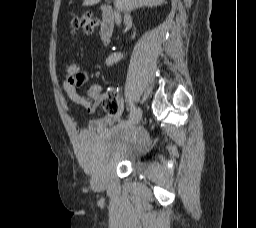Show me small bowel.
Instances as JSON below:
<instances>
[{
    "label": "small bowel",
    "mask_w": 256,
    "mask_h": 228,
    "mask_svg": "<svg viewBox=\"0 0 256 228\" xmlns=\"http://www.w3.org/2000/svg\"><path fill=\"white\" fill-rule=\"evenodd\" d=\"M89 80V74L85 71L79 72L75 76H66L63 82V88L66 91L68 97L78 103L85 108L90 113L95 112V103L100 101L104 94L102 93V88L98 84H94L90 86L85 95H80L77 91V87L81 86L82 84L86 83ZM88 99L93 100V104L88 101ZM122 105H120L118 112L115 115H107L103 118L91 120L88 123L87 128L83 129L80 132L81 136H86L91 133H102L104 132L108 126L112 125L116 122L120 115H121Z\"/></svg>",
    "instance_id": "obj_1"
}]
</instances>
